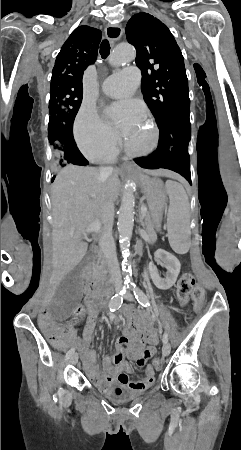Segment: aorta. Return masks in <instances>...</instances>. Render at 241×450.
Returning <instances> with one entry per match:
<instances>
[{"instance_id": "aorta-1", "label": "aorta", "mask_w": 241, "mask_h": 450, "mask_svg": "<svg viewBox=\"0 0 241 450\" xmlns=\"http://www.w3.org/2000/svg\"><path fill=\"white\" fill-rule=\"evenodd\" d=\"M136 56V51L133 46L129 44H120L111 53L109 63L113 66L124 65L132 61ZM134 190L130 182L125 186L123 197L121 200V206L118 213V232L120 249L124 257L129 255L130 239L132 237V231L134 226ZM125 264V263H123ZM124 271L125 266H123ZM126 280L129 281V275H126Z\"/></svg>"}]
</instances>
